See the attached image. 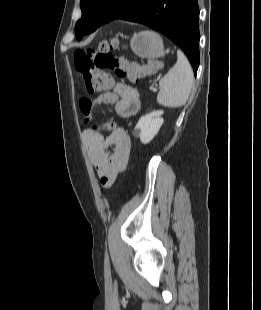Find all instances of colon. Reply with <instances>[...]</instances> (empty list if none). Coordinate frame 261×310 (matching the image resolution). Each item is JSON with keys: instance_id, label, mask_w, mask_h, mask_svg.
<instances>
[{"instance_id": "1", "label": "colon", "mask_w": 261, "mask_h": 310, "mask_svg": "<svg viewBox=\"0 0 261 310\" xmlns=\"http://www.w3.org/2000/svg\"><path fill=\"white\" fill-rule=\"evenodd\" d=\"M118 46L117 39L101 40L96 47L74 52L75 69L83 77L89 93L106 91L112 86V78L108 71H112L118 77H126L132 82H137L159 68L158 62L139 65L114 55L112 50Z\"/></svg>"}]
</instances>
